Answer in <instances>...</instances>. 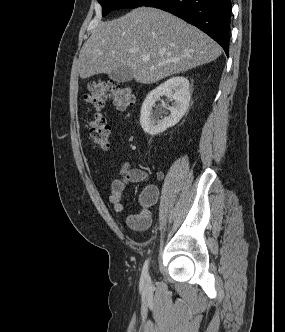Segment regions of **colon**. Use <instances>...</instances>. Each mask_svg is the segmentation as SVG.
<instances>
[{"mask_svg":"<svg viewBox=\"0 0 285 332\" xmlns=\"http://www.w3.org/2000/svg\"><path fill=\"white\" fill-rule=\"evenodd\" d=\"M108 98L113 100L118 110L124 111L132 105L134 95L130 87L113 81L97 80L89 84L85 102L94 111L88 118L89 134L92 141L103 149L109 146L111 133L109 125L101 114Z\"/></svg>","mask_w":285,"mask_h":332,"instance_id":"obj_1","label":"colon"}]
</instances>
